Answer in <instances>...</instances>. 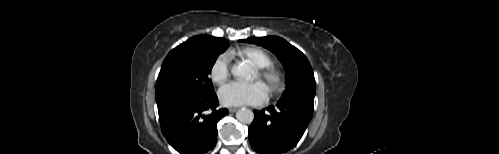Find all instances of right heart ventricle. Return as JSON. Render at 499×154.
<instances>
[{"mask_svg":"<svg viewBox=\"0 0 499 154\" xmlns=\"http://www.w3.org/2000/svg\"><path fill=\"white\" fill-rule=\"evenodd\" d=\"M228 57L248 61L258 69L264 68L272 63L270 54L259 47H246L237 52H231L228 54Z\"/></svg>","mask_w":499,"mask_h":154,"instance_id":"1","label":"right heart ventricle"}]
</instances>
